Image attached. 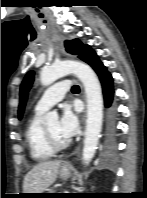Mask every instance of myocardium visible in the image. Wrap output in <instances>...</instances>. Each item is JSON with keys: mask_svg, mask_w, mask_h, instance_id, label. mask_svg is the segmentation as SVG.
Wrapping results in <instances>:
<instances>
[{"mask_svg": "<svg viewBox=\"0 0 147 198\" xmlns=\"http://www.w3.org/2000/svg\"><path fill=\"white\" fill-rule=\"evenodd\" d=\"M44 136L47 145L53 152L61 151L65 149L68 146V142H65L63 144L56 143L53 138L51 137L49 131L47 130L46 127H44Z\"/></svg>", "mask_w": 147, "mask_h": 198, "instance_id": "1", "label": "myocardium"}]
</instances>
